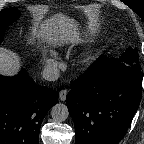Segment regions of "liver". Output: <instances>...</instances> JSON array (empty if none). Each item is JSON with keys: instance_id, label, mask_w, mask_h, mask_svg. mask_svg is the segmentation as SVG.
<instances>
[{"instance_id": "6515ba94", "label": "liver", "mask_w": 144, "mask_h": 144, "mask_svg": "<svg viewBox=\"0 0 144 144\" xmlns=\"http://www.w3.org/2000/svg\"><path fill=\"white\" fill-rule=\"evenodd\" d=\"M36 33V31H33ZM45 34L48 41L56 42H80L77 25L62 14L49 19L41 26L39 34ZM20 66L18 56L4 48H0V73L12 76L18 72Z\"/></svg>"}]
</instances>
